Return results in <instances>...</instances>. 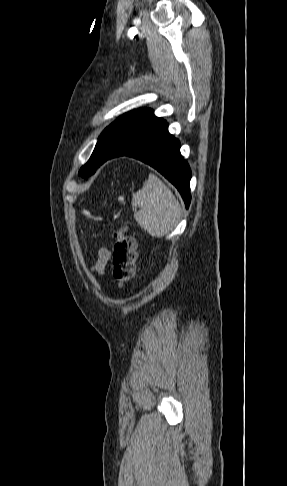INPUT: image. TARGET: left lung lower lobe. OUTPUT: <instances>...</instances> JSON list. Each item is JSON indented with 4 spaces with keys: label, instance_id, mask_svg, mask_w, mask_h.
<instances>
[{
    "label": "left lung lower lobe",
    "instance_id": "left-lung-lower-lobe-1",
    "mask_svg": "<svg viewBox=\"0 0 287 486\" xmlns=\"http://www.w3.org/2000/svg\"><path fill=\"white\" fill-rule=\"evenodd\" d=\"M122 156L133 157L158 170L175 185L186 208L189 207L191 171L180 154L179 141L169 134L166 122L140 148Z\"/></svg>",
    "mask_w": 287,
    "mask_h": 486
}]
</instances>
